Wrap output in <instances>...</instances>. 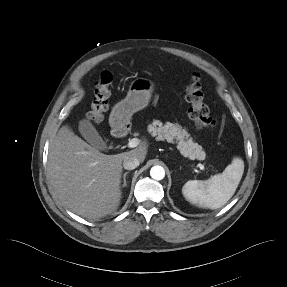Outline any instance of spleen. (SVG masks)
Returning a JSON list of instances; mask_svg holds the SVG:
<instances>
[{"label":"spleen","instance_id":"obj_1","mask_svg":"<svg viewBox=\"0 0 287 287\" xmlns=\"http://www.w3.org/2000/svg\"><path fill=\"white\" fill-rule=\"evenodd\" d=\"M244 172V161L233 158L221 174L207 180H190L182 188V194L191 204L201 208L218 209L234 195Z\"/></svg>","mask_w":287,"mask_h":287}]
</instances>
